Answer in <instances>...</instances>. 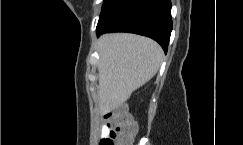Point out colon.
Here are the masks:
<instances>
[{"label": "colon", "mask_w": 243, "mask_h": 145, "mask_svg": "<svg viewBox=\"0 0 243 145\" xmlns=\"http://www.w3.org/2000/svg\"><path fill=\"white\" fill-rule=\"evenodd\" d=\"M112 120L109 134L102 138L100 145H130L137 132V125L125 106H120L106 115Z\"/></svg>", "instance_id": "1"}]
</instances>
